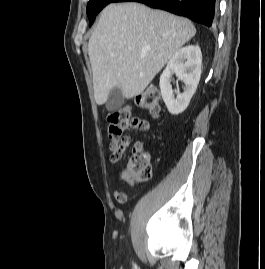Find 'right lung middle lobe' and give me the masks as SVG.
<instances>
[{
  "mask_svg": "<svg viewBox=\"0 0 265 269\" xmlns=\"http://www.w3.org/2000/svg\"><path fill=\"white\" fill-rule=\"evenodd\" d=\"M114 0H90L87 4V14L90 26L93 24L96 15L109 3Z\"/></svg>",
  "mask_w": 265,
  "mask_h": 269,
  "instance_id": "dd1d6c3e",
  "label": "right lung middle lobe"
}]
</instances>
